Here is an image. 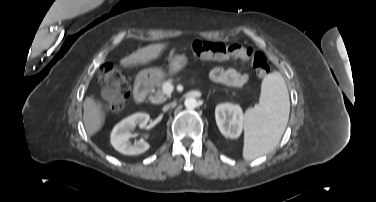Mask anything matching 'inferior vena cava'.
<instances>
[{
    "label": "inferior vena cava",
    "instance_id": "obj_1",
    "mask_svg": "<svg viewBox=\"0 0 376 202\" xmlns=\"http://www.w3.org/2000/svg\"><path fill=\"white\" fill-rule=\"evenodd\" d=\"M168 108H169L168 106H164V107H163L164 110H167Z\"/></svg>",
    "mask_w": 376,
    "mask_h": 202
}]
</instances>
